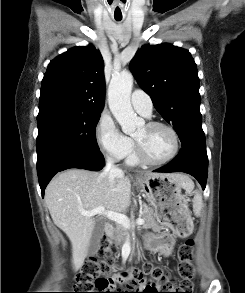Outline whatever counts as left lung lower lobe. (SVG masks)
Instances as JSON below:
<instances>
[{"label":"left lung lower lobe","mask_w":245,"mask_h":293,"mask_svg":"<svg viewBox=\"0 0 245 293\" xmlns=\"http://www.w3.org/2000/svg\"><path fill=\"white\" fill-rule=\"evenodd\" d=\"M154 172H185L194 176L205 189L208 174L206 147L182 146L174 160Z\"/></svg>","instance_id":"obj_1"}]
</instances>
